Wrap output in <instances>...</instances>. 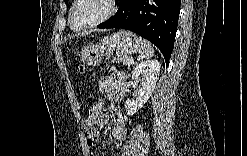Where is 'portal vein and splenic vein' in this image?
<instances>
[{
	"instance_id": "portal-vein-and-splenic-vein-1",
	"label": "portal vein and splenic vein",
	"mask_w": 247,
	"mask_h": 156,
	"mask_svg": "<svg viewBox=\"0 0 247 156\" xmlns=\"http://www.w3.org/2000/svg\"><path fill=\"white\" fill-rule=\"evenodd\" d=\"M132 63H134V61H133V60H131V61L129 62V64H132Z\"/></svg>"
}]
</instances>
